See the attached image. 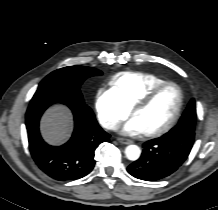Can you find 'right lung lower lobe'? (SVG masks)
I'll use <instances>...</instances> for the list:
<instances>
[{
    "label": "right lung lower lobe",
    "instance_id": "right-lung-lower-lobe-1",
    "mask_svg": "<svg viewBox=\"0 0 218 210\" xmlns=\"http://www.w3.org/2000/svg\"><path fill=\"white\" fill-rule=\"evenodd\" d=\"M54 103L67 105L73 112L75 127L70 140L61 146L48 145L39 131L43 112ZM26 127L31 155L37 166L59 181L82 178L95 165V150L110 135L102 130L92 110L77 100L40 96L32 98L26 112Z\"/></svg>",
    "mask_w": 218,
    "mask_h": 210
}]
</instances>
